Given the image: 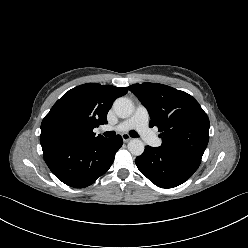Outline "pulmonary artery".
Listing matches in <instances>:
<instances>
[{
    "mask_svg": "<svg viewBox=\"0 0 248 248\" xmlns=\"http://www.w3.org/2000/svg\"><path fill=\"white\" fill-rule=\"evenodd\" d=\"M149 114L147 109L139 105L128 119L119 123L114 129L118 131H128L135 129L145 142L152 146H159L160 139L151 131L148 126ZM105 129H111V127H105Z\"/></svg>",
    "mask_w": 248,
    "mask_h": 248,
    "instance_id": "e3ab8cb5",
    "label": "pulmonary artery"
}]
</instances>
